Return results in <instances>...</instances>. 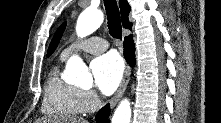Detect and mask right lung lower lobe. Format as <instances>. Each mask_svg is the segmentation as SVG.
<instances>
[{
    "instance_id": "98d812e1",
    "label": "right lung lower lobe",
    "mask_w": 221,
    "mask_h": 123,
    "mask_svg": "<svg viewBox=\"0 0 221 123\" xmlns=\"http://www.w3.org/2000/svg\"><path fill=\"white\" fill-rule=\"evenodd\" d=\"M135 45L132 35L124 38V57L127 62L133 66L135 64ZM110 106L109 104L103 107L98 114L96 115V121L100 123H107L108 117L110 115Z\"/></svg>"
}]
</instances>
